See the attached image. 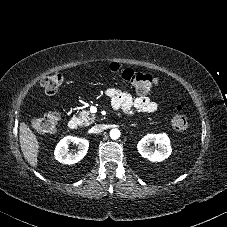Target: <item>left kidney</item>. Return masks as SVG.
<instances>
[{
	"instance_id": "5707ae66",
	"label": "left kidney",
	"mask_w": 227,
	"mask_h": 227,
	"mask_svg": "<svg viewBox=\"0 0 227 227\" xmlns=\"http://www.w3.org/2000/svg\"><path fill=\"white\" fill-rule=\"evenodd\" d=\"M151 143L158 145V149L153 151L149 147ZM137 149L142 157L152 162H160L167 159L172 152L168 136L163 134H148L144 136L137 144Z\"/></svg>"
}]
</instances>
